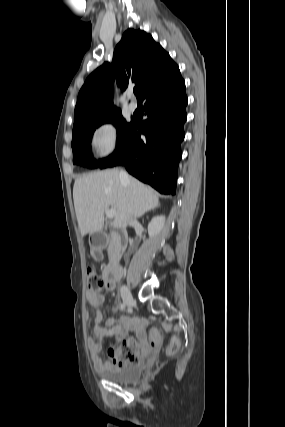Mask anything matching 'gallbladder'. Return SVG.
Returning <instances> with one entry per match:
<instances>
[{
	"instance_id": "bac80fb5",
	"label": "gallbladder",
	"mask_w": 285,
	"mask_h": 427,
	"mask_svg": "<svg viewBox=\"0 0 285 427\" xmlns=\"http://www.w3.org/2000/svg\"><path fill=\"white\" fill-rule=\"evenodd\" d=\"M97 235V233H94L93 235H92V242H93V240H94V238H95V236ZM94 245H96V244H94Z\"/></svg>"
}]
</instances>
